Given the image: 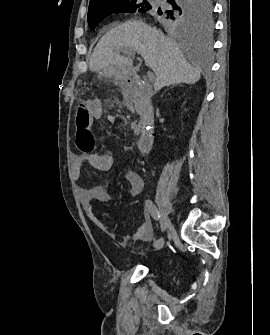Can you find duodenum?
Masks as SVG:
<instances>
[{"mask_svg": "<svg viewBox=\"0 0 270 335\" xmlns=\"http://www.w3.org/2000/svg\"><path fill=\"white\" fill-rule=\"evenodd\" d=\"M123 90L126 96V106L137 112L140 116V134L137 141L138 149L142 153H147L153 144L154 115L152 106L146 98V89L135 80H127L123 85Z\"/></svg>", "mask_w": 270, "mask_h": 335, "instance_id": "duodenum-1", "label": "duodenum"}]
</instances>
